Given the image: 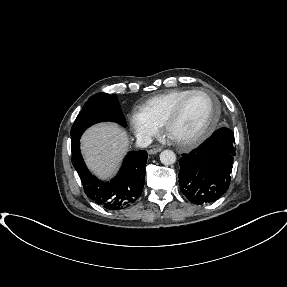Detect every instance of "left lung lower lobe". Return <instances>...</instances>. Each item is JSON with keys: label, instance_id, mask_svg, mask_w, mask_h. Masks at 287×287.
Segmentation results:
<instances>
[{"label": "left lung lower lobe", "instance_id": "0a47b994", "mask_svg": "<svg viewBox=\"0 0 287 287\" xmlns=\"http://www.w3.org/2000/svg\"><path fill=\"white\" fill-rule=\"evenodd\" d=\"M234 133L223 127L216 130L201 146L180 158L181 192L195 204L219 199L230 185L233 165Z\"/></svg>", "mask_w": 287, "mask_h": 287}]
</instances>
